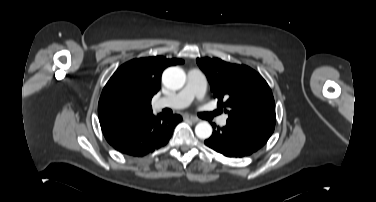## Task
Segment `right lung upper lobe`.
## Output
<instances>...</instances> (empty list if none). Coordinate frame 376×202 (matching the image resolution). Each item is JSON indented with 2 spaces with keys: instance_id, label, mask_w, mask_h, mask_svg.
Masks as SVG:
<instances>
[{
  "instance_id": "cb5924a9",
  "label": "right lung upper lobe",
  "mask_w": 376,
  "mask_h": 202,
  "mask_svg": "<svg viewBox=\"0 0 376 202\" xmlns=\"http://www.w3.org/2000/svg\"><path fill=\"white\" fill-rule=\"evenodd\" d=\"M181 59L162 56L131 60L118 68L107 82L98 104L103 134H109L152 113L151 99L161 85V74Z\"/></svg>"
}]
</instances>
